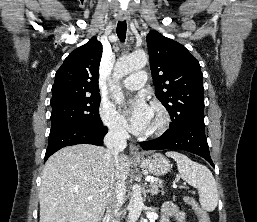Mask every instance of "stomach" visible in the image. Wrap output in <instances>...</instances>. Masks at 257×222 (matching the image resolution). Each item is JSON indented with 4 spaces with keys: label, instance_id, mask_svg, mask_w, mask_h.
Masks as SVG:
<instances>
[{
    "label": "stomach",
    "instance_id": "0dacf381",
    "mask_svg": "<svg viewBox=\"0 0 257 222\" xmlns=\"http://www.w3.org/2000/svg\"><path fill=\"white\" fill-rule=\"evenodd\" d=\"M135 161L142 168L156 176L165 175L171 168L169 160L160 153H155L147 158L136 159Z\"/></svg>",
    "mask_w": 257,
    "mask_h": 222
}]
</instances>
